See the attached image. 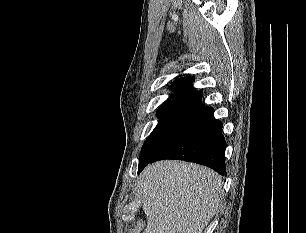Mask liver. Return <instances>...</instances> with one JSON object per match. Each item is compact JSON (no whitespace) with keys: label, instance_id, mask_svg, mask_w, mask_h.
Returning a JSON list of instances; mask_svg holds the SVG:
<instances>
[{"label":"liver","instance_id":"obj_1","mask_svg":"<svg viewBox=\"0 0 306 233\" xmlns=\"http://www.w3.org/2000/svg\"><path fill=\"white\" fill-rule=\"evenodd\" d=\"M222 184L219 174L197 164L148 165L138 181L147 218L143 233H202L219 209Z\"/></svg>","mask_w":306,"mask_h":233}]
</instances>
